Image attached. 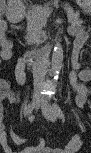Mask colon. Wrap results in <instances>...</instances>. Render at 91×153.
Masks as SVG:
<instances>
[{
	"mask_svg": "<svg viewBox=\"0 0 91 153\" xmlns=\"http://www.w3.org/2000/svg\"><path fill=\"white\" fill-rule=\"evenodd\" d=\"M3 27H5L6 29V24H0V31H3ZM0 37H1V40L3 41V45L7 43L6 34L4 32H1Z\"/></svg>",
	"mask_w": 91,
	"mask_h": 153,
	"instance_id": "5ec220e1",
	"label": "colon"
}]
</instances>
